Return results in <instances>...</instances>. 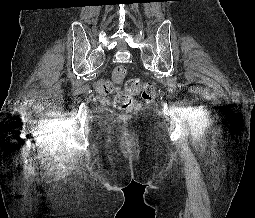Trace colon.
I'll return each instance as SVG.
<instances>
[{"label":"colon","instance_id":"1","mask_svg":"<svg viewBox=\"0 0 255 218\" xmlns=\"http://www.w3.org/2000/svg\"><path fill=\"white\" fill-rule=\"evenodd\" d=\"M127 68L124 65H119L114 69L113 78L116 82H120L126 75ZM98 90L102 95L116 93L115 106L119 110L134 111L138 108V104L134 98L135 95H140L146 101L155 99L156 91L151 82L142 81L140 78H131L125 84V90L119 91L118 88L109 81H100Z\"/></svg>","mask_w":255,"mask_h":218}]
</instances>
